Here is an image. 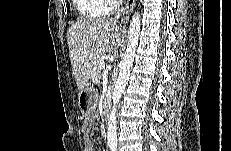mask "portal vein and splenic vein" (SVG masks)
I'll use <instances>...</instances> for the list:
<instances>
[{
    "mask_svg": "<svg viewBox=\"0 0 231 151\" xmlns=\"http://www.w3.org/2000/svg\"><path fill=\"white\" fill-rule=\"evenodd\" d=\"M105 68V62H101L99 65V69L103 70Z\"/></svg>",
    "mask_w": 231,
    "mask_h": 151,
    "instance_id": "1",
    "label": "portal vein and splenic vein"
}]
</instances>
